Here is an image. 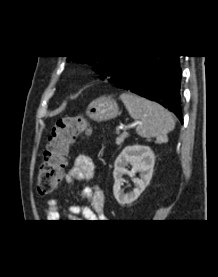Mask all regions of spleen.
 <instances>
[{"label": "spleen", "mask_w": 218, "mask_h": 277, "mask_svg": "<svg viewBox=\"0 0 218 277\" xmlns=\"http://www.w3.org/2000/svg\"><path fill=\"white\" fill-rule=\"evenodd\" d=\"M120 99L130 116L139 121L136 132L144 138L156 137L159 142L167 140V134L175 127L172 114L161 105L132 93H123Z\"/></svg>", "instance_id": "spleen-1"}]
</instances>
